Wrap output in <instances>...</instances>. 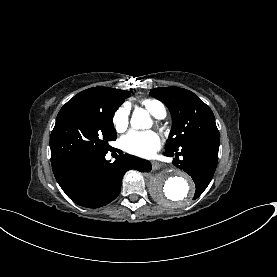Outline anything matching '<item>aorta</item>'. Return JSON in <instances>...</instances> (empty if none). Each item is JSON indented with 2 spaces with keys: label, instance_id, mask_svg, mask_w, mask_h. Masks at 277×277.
I'll use <instances>...</instances> for the list:
<instances>
[{
  "label": "aorta",
  "instance_id": "1",
  "mask_svg": "<svg viewBox=\"0 0 277 277\" xmlns=\"http://www.w3.org/2000/svg\"><path fill=\"white\" fill-rule=\"evenodd\" d=\"M135 129L149 128L151 120L146 110L137 108L131 118ZM151 195L164 205H186L194 194L191 178L176 167H165L159 171L150 183Z\"/></svg>",
  "mask_w": 277,
  "mask_h": 277
}]
</instances>
